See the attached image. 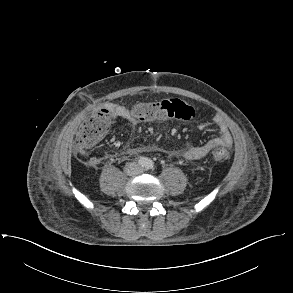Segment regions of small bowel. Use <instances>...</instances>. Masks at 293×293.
<instances>
[{
    "mask_svg": "<svg viewBox=\"0 0 293 293\" xmlns=\"http://www.w3.org/2000/svg\"><path fill=\"white\" fill-rule=\"evenodd\" d=\"M105 108L108 109L115 118L124 119L132 125H137L140 122V120L136 119L133 116L132 112H130L126 107H124L122 105L115 104V103H109L105 106ZM214 124L218 128V132H219L218 137L213 140L208 141L207 143H205L203 145L194 146V147L187 149L183 153V156L186 159L195 161V160H199V159L205 157L207 154L210 153L211 144L213 142H216V143H218L222 146H225V147L231 146L232 136H231V133H230L229 128L226 125V123H224L221 119L216 118L214 120ZM90 163L92 165H96V164H98V159L96 157H93L90 159Z\"/></svg>",
    "mask_w": 293,
    "mask_h": 293,
    "instance_id": "obj_1",
    "label": "small bowel"
}]
</instances>
